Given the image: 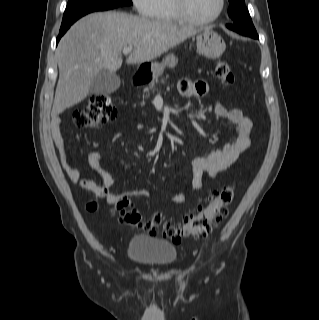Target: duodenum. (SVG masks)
Here are the masks:
<instances>
[{
	"label": "duodenum",
	"mask_w": 319,
	"mask_h": 320,
	"mask_svg": "<svg viewBox=\"0 0 319 320\" xmlns=\"http://www.w3.org/2000/svg\"><path fill=\"white\" fill-rule=\"evenodd\" d=\"M148 81V74H144L142 72H138L133 79L134 84L140 85Z\"/></svg>",
	"instance_id": "410a0bca"
}]
</instances>
